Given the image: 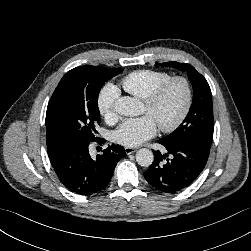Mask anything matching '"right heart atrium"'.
I'll use <instances>...</instances> for the list:
<instances>
[{
    "label": "right heart atrium",
    "instance_id": "obj_1",
    "mask_svg": "<svg viewBox=\"0 0 251 251\" xmlns=\"http://www.w3.org/2000/svg\"><path fill=\"white\" fill-rule=\"evenodd\" d=\"M118 89L113 85H107L100 92L97 100L100 114L108 121L115 122L117 114L115 113V103L118 99Z\"/></svg>",
    "mask_w": 251,
    "mask_h": 251
}]
</instances>
